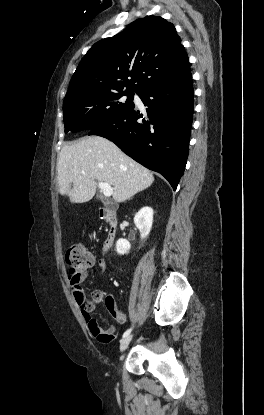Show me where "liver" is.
Wrapping results in <instances>:
<instances>
[{"instance_id":"obj_1","label":"liver","mask_w":264,"mask_h":415,"mask_svg":"<svg viewBox=\"0 0 264 415\" xmlns=\"http://www.w3.org/2000/svg\"><path fill=\"white\" fill-rule=\"evenodd\" d=\"M57 173L59 192L68 196L71 203L91 200L96 193V181L113 186V199L119 203L154 181L150 170L100 136L65 145L59 154Z\"/></svg>"}]
</instances>
